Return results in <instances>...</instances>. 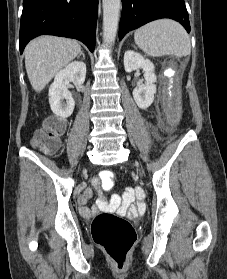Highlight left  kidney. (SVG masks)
<instances>
[{
    "mask_svg": "<svg viewBox=\"0 0 227 279\" xmlns=\"http://www.w3.org/2000/svg\"><path fill=\"white\" fill-rule=\"evenodd\" d=\"M124 68L126 72L143 69L145 84L139 85L133 90V98L140 109H147L154 101L156 93L154 64L145 59L139 53L128 50L124 54Z\"/></svg>",
    "mask_w": 227,
    "mask_h": 279,
    "instance_id": "5707ae66",
    "label": "left kidney"
}]
</instances>
